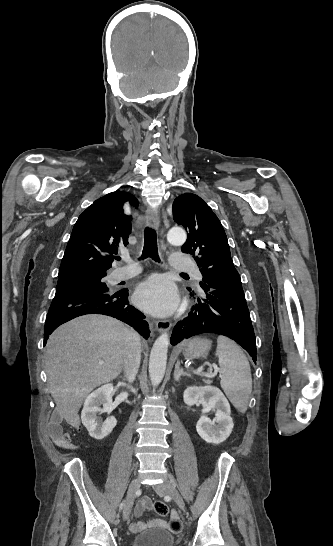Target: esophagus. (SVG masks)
<instances>
[{
	"label": "esophagus",
	"mask_w": 333,
	"mask_h": 546,
	"mask_svg": "<svg viewBox=\"0 0 333 546\" xmlns=\"http://www.w3.org/2000/svg\"><path fill=\"white\" fill-rule=\"evenodd\" d=\"M146 219H147V225L149 227H154L159 231L160 239L162 240V234L159 230L160 220H159L158 212L152 208H148L146 211ZM171 326H172L171 321L167 319L158 320L156 322V329L158 332L168 331L171 328Z\"/></svg>",
	"instance_id": "34e87169"
}]
</instances>
